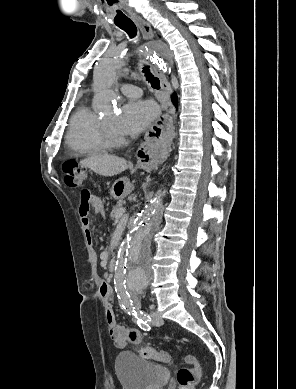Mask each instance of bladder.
Instances as JSON below:
<instances>
[{"instance_id": "bladder-1", "label": "bladder", "mask_w": 296, "mask_h": 389, "mask_svg": "<svg viewBox=\"0 0 296 389\" xmlns=\"http://www.w3.org/2000/svg\"><path fill=\"white\" fill-rule=\"evenodd\" d=\"M115 370L122 389H160L170 377L166 367L145 361L130 351L117 355Z\"/></svg>"}]
</instances>
